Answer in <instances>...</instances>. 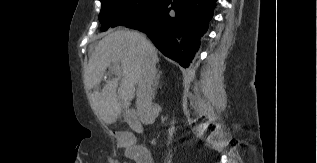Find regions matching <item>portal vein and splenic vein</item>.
I'll return each mask as SVG.
<instances>
[{
  "mask_svg": "<svg viewBox=\"0 0 317 163\" xmlns=\"http://www.w3.org/2000/svg\"><path fill=\"white\" fill-rule=\"evenodd\" d=\"M113 72H114V74L116 76H120L121 75V67H120L119 63H114Z\"/></svg>",
  "mask_w": 317,
  "mask_h": 163,
  "instance_id": "obj_1",
  "label": "portal vein and splenic vein"
}]
</instances>
